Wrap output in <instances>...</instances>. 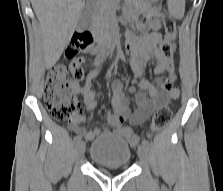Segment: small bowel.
Instances as JSON below:
<instances>
[{"label": "small bowel", "instance_id": "small-bowel-1", "mask_svg": "<svg viewBox=\"0 0 223 191\" xmlns=\"http://www.w3.org/2000/svg\"><path fill=\"white\" fill-rule=\"evenodd\" d=\"M148 17H143L139 23V28L147 30L142 36H129L130 65L136 76L132 82L131 90L138 87L148 93H139L136 96L137 107L132 111L129 100L123 90L121 81L114 80L111 83L113 111L106 115L107 129L120 131L125 121L134 125L144 123L153 111L168 100L179 97V90L173 86L175 80V70L167 73V77H161L165 72V61L158 49V44L162 38L161 34V12L151 5L146 6ZM172 56V55H171ZM108 59V55L99 54L96 56L89 73L83 84H75L74 91L81 95L88 111L97 108L96 92L92 89L91 82L97 73V67ZM150 59H155L156 65L154 73L157 76L156 82L159 89L148 79L140 78L145 72L147 63ZM86 117L83 114L76 115L70 122V129L87 140H93L102 135L104 130L96 128L88 130L82 126Z\"/></svg>", "mask_w": 223, "mask_h": 191}]
</instances>
